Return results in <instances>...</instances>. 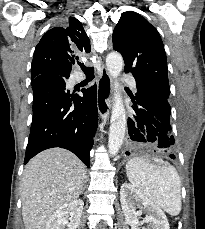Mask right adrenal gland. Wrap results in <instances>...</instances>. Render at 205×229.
Wrapping results in <instances>:
<instances>
[{
  "label": "right adrenal gland",
  "instance_id": "2a0ac1e0",
  "mask_svg": "<svg viewBox=\"0 0 205 229\" xmlns=\"http://www.w3.org/2000/svg\"><path fill=\"white\" fill-rule=\"evenodd\" d=\"M84 189H85V188H83L82 191H81L82 194H83V192H84Z\"/></svg>",
  "mask_w": 205,
  "mask_h": 229
}]
</instances>
